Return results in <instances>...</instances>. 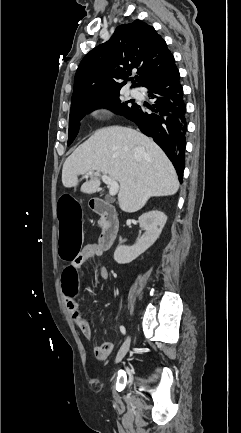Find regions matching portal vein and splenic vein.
Instances as JSON below:
<instances>
[{
	"mask_svg": "<svg viewBox=\"0 0 241 433\" xmlns=\"http://www.w3.org/2000/svg\"><path fill=\"white\" fill-rule=\"evenodd\" d=\"M93 171H88L87 175H92ZM102 181L108 185L109 187V194L111 196H114L117 194L118 190H119V184L117 181L112 180L109 176L107 175H102L101 176Z\"/></svg>",
	"mask_w": 241,
	"mask_h": 433,
	"instance_id": "obj_1",
	"label": "portal vein and splenic vein"
}]
</instances>
